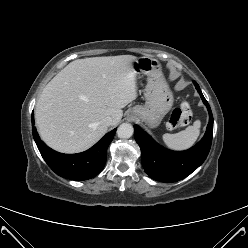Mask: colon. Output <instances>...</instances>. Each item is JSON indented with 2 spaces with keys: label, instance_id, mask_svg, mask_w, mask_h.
I'll return each instance as SVG.
<instances>
[{
  "label": "colon",
  "instance_id": "colon-1",
  "mask_svg": "<svg viewBox=\"0 0 248 248\" xmlns=\"http://www.w3.org/2000/svg\"><path fill=\"white\" fill-rule=\"evenodd\" d=\"M192 117V109L187 99H182L180 107L175 109L168 121V127L173 129L189 123Z\"/></svg>",
  "mask_w": 248,
  "mask_h": 248
}]
</instances>
